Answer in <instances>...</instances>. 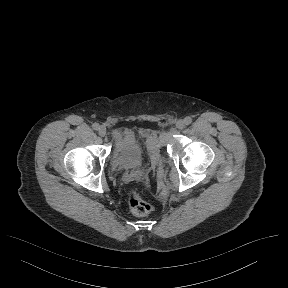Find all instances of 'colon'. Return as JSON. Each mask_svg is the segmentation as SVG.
<instances>
[{
  "mask_svg": "<svg viewBox=\"0 0 288 288\" xmlns=\"http://www.w3.org/2000/svg\"><path fill=\"white\" fill-rule=\"evenodd\" d=\"M127 201L130 210L138 216L147 215L152 209L151 205L143 199L141 192L137 189L129 191Z\"/></svg>",
  "mask_w": 288,
  "mask_h": 288,
  "instance_id": "obj_1",
  "label": "colon"
}]
</instances>
